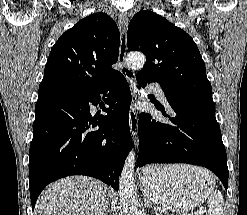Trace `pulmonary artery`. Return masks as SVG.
<instances>
[{
    "mask_svg": "<svg viewBox=\"0 0 247 215\" xmlns=\"http://www.w3.org/2000/svg\"><path fill=\"white\" fill-rule=\"evenodd\" d=\"M150 89L156 94V96L163 102H166V97L162 87L155 82L150 83Z\"/></svg>",
    "mask_w": 247,
    "mask_h": 215,
    "instance_id": "e3ab8cb5",
    "label": "pulmonary artery"
}]
</instances>
